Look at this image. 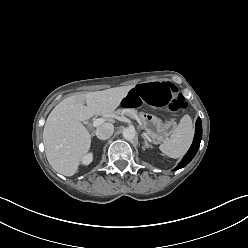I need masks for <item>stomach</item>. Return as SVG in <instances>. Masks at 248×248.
<instances>
[{
	"instance_id": "0dacf381",
	"label": "stomach",
	"mask_w": 248,
	"mask_h": 248,
	"mask_svg": "<svg viewBox=\"0 0 248 248\" xmlns=\"http://www.w3.org/2000/svg\"><path fill=\"white\" fill-rule=\"evenodd\" d=\"M135 119L138 122H142L143 129L153 144L166 141L175 129V122L173 120L163 121L149 113H138Z\"/></svg>"
}]
</instances>
